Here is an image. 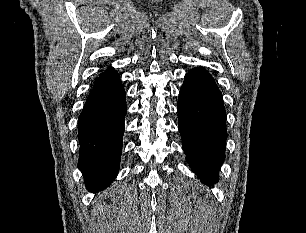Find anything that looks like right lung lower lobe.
I'll use <instances>...</instances> for the list:
<instances>
[{"mask_svg": "<svg viewBox=\"0 0 306 233\" xmlns=\"http://www.w3.org/2000/svg\"><path fill=\"white\" fill-rule=\"evenodd\" d=\"M125 98L115 71L94 83L78 118V168L90 191L103 190L118 173L127 113Z\"/></svg>", "mask_w": 306, "mask_h": 233, "instance_id": "obj_1", "label": "right lung lower lobe"}]
</instances>
